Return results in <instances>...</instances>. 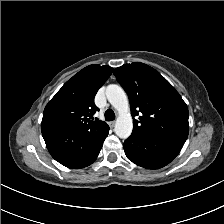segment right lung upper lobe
Wrapping results in <instances>:
<instances>
[{"label": "right lung upper lobe", "instance_id": "1", "mask_svg": "<svg viewBox=\"0 0 224 224\" xmlns=\"http://www.w3.org/2000/svg\"><path fill=\"white\" fill-rule=\"evenodd\" d=\"M113 71L110 66L89 65L68 80L46 105L42 124L54 123L78 131H98L108 125L90 120L99 109L94 104L97 91Z\"/></svg>", "mask_w": 224, "mask_h": 224}]
</instances>
